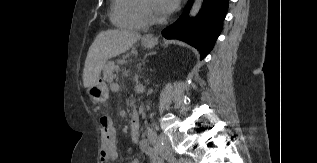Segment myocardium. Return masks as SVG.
Returning <instances> with one entry per match:
<instances>
[{
    "mask_svg": "<svg viewBox=\"0 0 317 163\" xmlns=\"http://www.w3.org/2000/svg\"><path fill=\"white\" fill-rule=\"evenodd\" d=\"M140 6H141V11H142L144 17L148 22L153 23V24H160L166 20V17H164V16L159 17V16H156L155 14H153V12L148 7L145 0H140Z\"/></svg>",
    "mask_w": 317,
    "mask_h": 163,
    "instance_id": "myocardium-1",
    "label": "myocardium"
}]
</instances>
